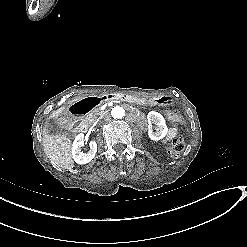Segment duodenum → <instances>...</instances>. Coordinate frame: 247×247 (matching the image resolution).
I'll use <instances>...</instances> for the list:
<instances>
[{
	"mask_svg": "<svg viewBox=\"0 0 247 247\" xmlns=\"http://www.w3.org/2000/svg\"><path fill=\"white\" fill-rule=\"evenodd\" d=\"M108 100H120L126 102H134L136 98L124 93H110L102 96H89L71 106L68 119L72 128L76 132H84L86 130V123L83 116L86 113L97 108L102 102Z\"/></svg>",
	"mask_w": 247,
	"mask_h": 247,
	"instance_id": "duodenum-1",
	"label": "duodenum"
}]
</instances>
